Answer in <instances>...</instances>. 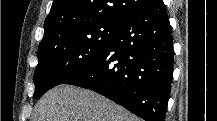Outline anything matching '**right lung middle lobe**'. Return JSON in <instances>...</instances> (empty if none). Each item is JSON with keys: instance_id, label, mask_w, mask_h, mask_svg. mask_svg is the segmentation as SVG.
I'll return each instance as SVG.
<instances>
[{"instance_id": "right-lung-middle-lobe-1", "label": "right lung middle lobe", "mask_w": 217, "mask_h": 121, "mask_svg": "<svg viewBox=\"0 0 217 121\" xmlns=\"http://www.w3.org/2000/svg\"><path fill=\"white\" fill-rule=\"evenodd\" d=\"M119 25L116 22L83 25L39 47L34 97L88 67L104 51Z\"/></svg>"}]
</instances>
